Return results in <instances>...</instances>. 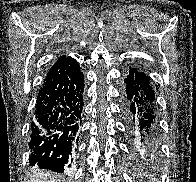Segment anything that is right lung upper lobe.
<instances>
[{
  "mask_svg": "<svg viewBox=\"0 0 196 182\" xmlns=\"http://www.w3.org/2000/svg\"><path fill=\"white\" fill-rule=\"evenodd\" d=\"M68 58H66V57H60V58H58L57 62H55V64L52 66V68H54L55 66H57L59 63L64 62Z\"/></svg>",
  "mask_w": 196,
  "mask_h": 182,
  "instance_id": "cb5924a9",
  "label": "right lung upper lobe"
}]
</instances>
